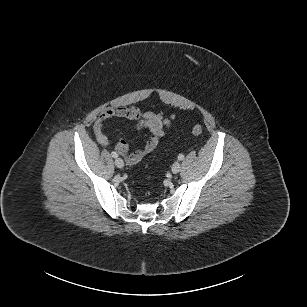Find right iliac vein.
<instances>
[{"mask_svg": "<svg viewBox=\"0 0 307 307\" xmlns=\"http://www.w3.org/2000/svg\"><path fill=\"white\" fill-rule=\"evenodd\" d=\"M115 165L118 168H123L124 167V161L121 158H116L115 159Z\"/></svg>", "mask_w": 307, "mask_h": 307, "instance_id": "right-iliac-vein-1", "label": "right iliac vein"}]
</instances>
